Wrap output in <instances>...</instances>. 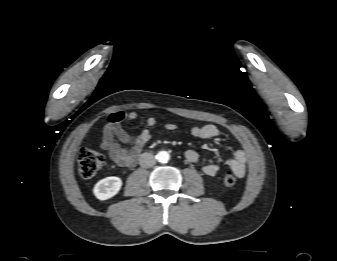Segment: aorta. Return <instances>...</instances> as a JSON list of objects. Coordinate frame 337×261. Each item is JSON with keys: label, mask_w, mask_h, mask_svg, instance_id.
Returning a JSON list of instances; mask_svg holds the SVG:
<instances>
[{"label": "aorta", "mask_w": 337, "mask_h": 261, "mask_svg": "<svg viewBox=\"0 0 337 261\" xmlns=\"http://www.w3.org/2000/svg\"><path fill=\"white\" fill-rule=\"evenodd\" d=\"M156 157L160 163H167L170 159L169 153L167 151L158 152Z\"/></svg>", "instance_id": "762f6f07"}]
</instances>
